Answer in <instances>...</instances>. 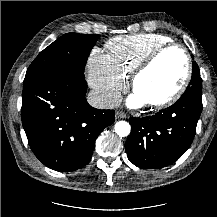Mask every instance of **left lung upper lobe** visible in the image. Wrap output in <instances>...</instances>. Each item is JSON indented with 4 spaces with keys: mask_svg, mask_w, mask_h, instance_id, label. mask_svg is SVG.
<instances>
[{
    "mask_svg": "<svg viewBox=\"0 0 217 217\" xmlns=\"http://www.w3.org/2000/svg\"><path fill=\"white\" fill-rule=\"evenodd\" d=\"M185 92H191L194 94L202 95V79L200 78L199 67L195 61H193L192 63L191 81Z\"/></svg>",
    "mask_w": 217,
    "mask_h": 217,
    "instance_id": "obj_1",
    "label": "left lung upper lobe"
}]
</instances>
